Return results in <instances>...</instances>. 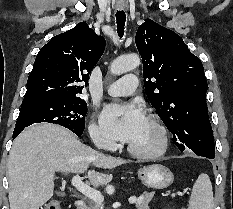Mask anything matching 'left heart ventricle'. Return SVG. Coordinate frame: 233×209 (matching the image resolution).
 <instances>
[{"label":"left heart ventricle","instance_id":"left-heart-ventricle-1","mask_svg":"<svg viewBox=\"0 0 233 209\" xmlns=\"http://www.w3.org/2000/svg\"><path fill=\"white\" fill-rule=\"evenodd\" d=\"M159 137L156 129L151 122L146 119L143 127L136 136V138L130 142V145L138 150H151L158 144Z\"/></svg>","mask_w":233,"mask_h":209}]
</instances>
